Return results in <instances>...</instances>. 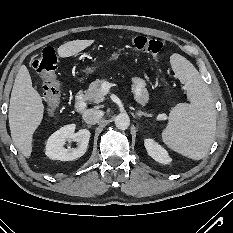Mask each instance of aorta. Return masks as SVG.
Listing matches in <instances>:
<instances>
[{
  "label": "aorta",
  "mask_w": 233,
  "mask_h": 233,
  "mask_svg": "<svg viewBox=\"0 0 233 233\" xmlns=\"http://www.w3.org/2000/svg\"><path fill=\"white\" fill-rule=\"evenodd\" d=\"M115 125L120 130H126L130 125L129 116L125 113H120L115 118Z\"/></svg>",
  "instance_id": "762f6f07"
}]
</instances>
